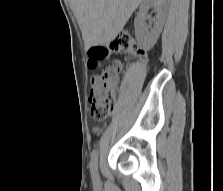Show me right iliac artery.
I'll use <instances>...</instances> for the list:
<instances>
[{"mask_svg":"<svg viewBox=\"0 0 223 191\" xmlns=\"http://www.w3.org/2000/svg\"><path fill=\"white\" fill-rule=\"evenodd\" d=\"M90 170L93 178L98 179V156L96 150L91 154Z\"/></svg>","mask_w":223,"mask_h":191,"instance_id":"82829eb1","label":"right iliac artery"}]
</instances>
